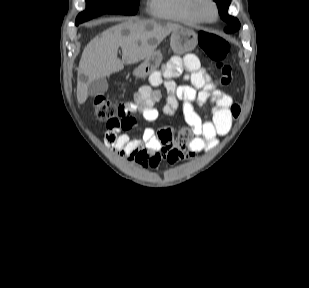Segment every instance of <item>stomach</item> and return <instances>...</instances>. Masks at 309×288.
Returning a JSON list of instances; mask_svg holds the SVG:
<instances>
[{"instance_id": "obj_1", "label": "stomach", "mask_w": 309, "mask_h": 288, "mask_svg": "<svg viewBox=\"0 0 309 288\" xmlns=\"http://www.w3.org/2000/svg\"><path fill=\"white\" fill-rule=\"evenodd\" d=\"M198 43L197 33L190 28L180 27L174 30L170 38V46L174 53L183 54L192 51ZM163 59L160 51H154L133 72L136 77H146L155 71Z\"/></svg>"}]
</instances>
